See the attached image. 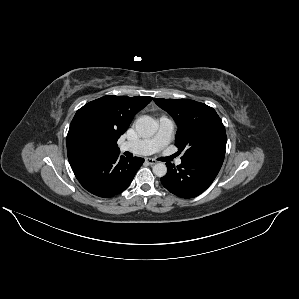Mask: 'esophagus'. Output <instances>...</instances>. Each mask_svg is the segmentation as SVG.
I'll list each match as a JSON object with an SVG mask.
<instances>
[{
  "label": "esophagus",
  "mask_w": 299,
  "mask_h": 299,
  "mask_svg": "<svg viewBox=\"0 0 299 299\" xmlns=\"http://www.w3.org/2000/svg\"><path fill=\"white\" fill-rule=\"evenodd\" d=\"M145 162L148 163L149 165H153L157 163V160L152 159V158H146Z\"/></svg>",
  "instance_id": "1"
}]
</instances>
